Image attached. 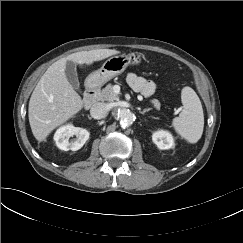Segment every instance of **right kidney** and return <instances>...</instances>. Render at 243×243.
I'll return each mask as SVG.
<instances>
[{"label": "right kidney", "instance_id": "1", "mask_svg": "<svg viewBox=\"0 0 243 243\" xmlns=\"http://www.w3.org/2000/svg\"><path fill=\"white\" fill-rule=\"evenodd\" d=\"M75 136L73 140L70 137ZM89 138V132L80 127H74L72 124H67L60 127L54 134V141L59 149L64 151L79 150Z\"/></svg>", "mask_w": 243, "mask_h": 243}]
</instances>
